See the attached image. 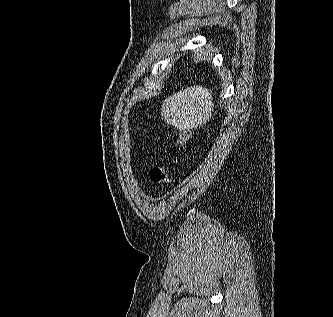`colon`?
Returning a JSON list of instances; mask_svg holds the SVG:
<instances>
[{"mask_svg": "<svg viewBox=\"0 0 333 317\" xmlns=\"http://www.w3.org/2000/svg\"><path fill=\"white\" fill-rule=\"evenodd\" d=\"M191 132L189 130H184L180 132L176 139V151H180L184 146L190 141ZM169 165L170 162L155 166L150 171V179L154 184L168 186L170 184L169 176Z\"/></svg>", "mask_w": 333, "mask_h": 317, "instance_id": "5ec220e1", "label": "colon"}]
</instances>
